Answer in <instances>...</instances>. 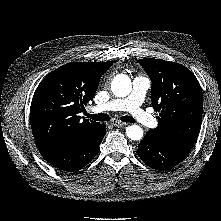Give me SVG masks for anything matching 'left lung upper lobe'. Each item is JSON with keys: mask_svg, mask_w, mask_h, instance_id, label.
I'll list each match as a JSON object with an SVG mask.
<instances>
[{"mask_svg": "<svg viewBox=\"0 0 221 221\" xmlns=\"http://www.w3.org/2000/svg\"><path fill=\"white\" fill-rule=\"evenodd\" d=\"M139 64L152 81L151 100L159 124L147 133L160 143L190 152L200 129L203 97L195 75L185 66L144 58Z\"/></svg>", "mask_w": 221, "mask_h": 221, "instance_id": "1", "label": "left lung upper lobe"}]
</instances>
